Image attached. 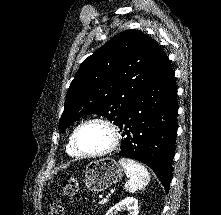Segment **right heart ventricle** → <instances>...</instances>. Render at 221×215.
<instances>
[{
	"instance_id": "e07e8e85",
	"label": "right heart ventricle",
	"mask_w": 221,
	"mask_h": 215,
	"mask_svg": "<svg viewBox=\"0 0 221 215\" xmlns=\"http://www.w3.org/2000/svg\"><path fill=\"white\" fill-rule=\"evenodd\" d=\"M76 129V128H75ZM75 129L72 131L71 135L69 136V139H68V142H67V145H66V151L67 153L70 155V156H79L75 149H74V146H73V134H74V131Z\"/></svg>"
}]
</instances>
